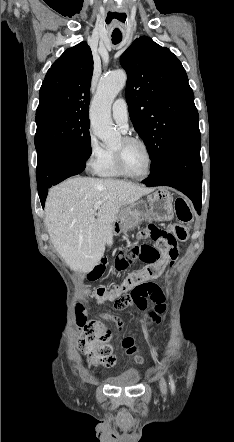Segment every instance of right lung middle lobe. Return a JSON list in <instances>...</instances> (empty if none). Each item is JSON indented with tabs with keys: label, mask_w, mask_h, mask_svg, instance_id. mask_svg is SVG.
Returning <instances> with one entry per match:
<instances>
[{
	"label": "right lung middle lobe",
	"mask_w": 234,
	"mask_h": 442,
	"mask_svg": "<svg viewBox=\"0 0 234 442\" xmlns=\"http://www.w3.org/2000/svg\"><path fill=\"white\" fill-rule=\"evenodd\" d=\"M35 147H69L87 159L91 154L88 113L56 112L35 118Z\"/></svg>",
	"instance_id": "1"
}]
</instances>
